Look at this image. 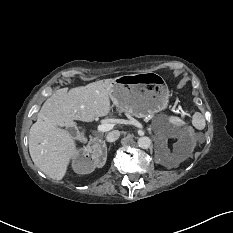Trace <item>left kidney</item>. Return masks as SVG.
<instances>
[{"mask_svg": "<svg viewBox=\"0 0 233 233\" xmlns=\"http://www.w3.org/2000/svg\"><path fill=\"white\" fill-rule=\"evenodd\" d=\"M182 147V141L181 139H179L178 143H177V147H176V151L177 154L175 153L173 156L170 157V159L174 162V163H179L182 160V157L178 154L179 149ZM165 154L168 156L169 154V149L166 147L165 148Z\"/></svg>", "mask_w": 233, "mask_h": 233, "instance_id": "obj_1", "label": "left kidney"}]
</instances>
